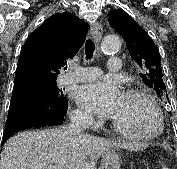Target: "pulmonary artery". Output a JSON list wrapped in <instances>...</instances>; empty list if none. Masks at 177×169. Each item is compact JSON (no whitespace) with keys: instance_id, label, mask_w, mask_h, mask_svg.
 <instances>
[{"instance_id":"1","label":"pulmonary artery","mask_w":177,"mask_h":169,"mask_svg":"<svg viewBox=\"0 0 177 169\" xmlns=\"http://www.w3.org/2000/svg\"><path fill=\"white\" fill-rule=\"evenodd\" d=\"M108 69L111 72H119L121 70V60L118 57L108 58ZM71 73H68L62 77V84H73L85 81H91L97 79L101 75V70L97 67H81L77 65H71Z\"/></svg>"}]
</instances>
